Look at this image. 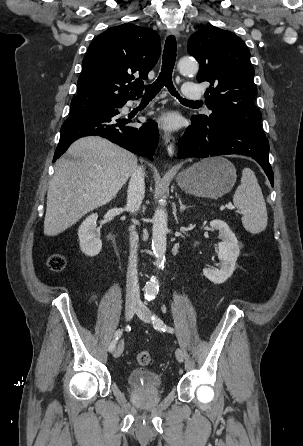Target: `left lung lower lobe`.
<instances>
[{
  "mask_svg": "<svg viewBox=\"0 0 303 446\" xmlns=\"http://www.w3.org/2000/svg\"><path fill=\"white\" fill-rule=\"evenodd\" d=\"M179 141V157L205 158L209 156L242 154L255 159L274 185L268 159L269 142L266 136L256 135L222 122L202 123L195 119Z\"/></svg>",
  "mask_w": 303,
  "mask_h": 446,
  "instance_id": "1",
  "label": "left lung lower lobe"
}]
</instances>
